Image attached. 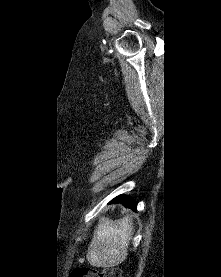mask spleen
<instances>
[{"label":"spleen","instance_id":"3e777b00","mask_svg":"<svg viewBox=\"0 0 221 277\" xmlns=\"http://www.w3.org/2000/svg\"><path fill=\"white\" fill-rule=\"evenodd\" d=\"M133 234L132 219L123 217L118 222L102 218L89 245L87 260L95 266H115L125 260Z\"/></svg>","mask_w":221,"mask_h":277}]
</instances>
